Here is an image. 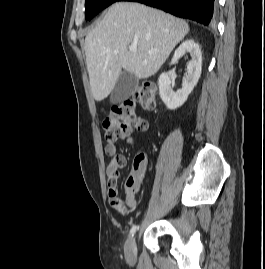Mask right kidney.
I'll return each instance as SVG.
<instances>
[{
    "label": "right kidney",
    "instance_id": "ca27d5eb",
    "mask_svg": "<svg viewBox=\"0 0 265 269\" xmlns=\"http://www.w3.org/2000/svg\"><path fill=\"white\" fill-rule=\"evenodd\" d=\"M185 53L190 54V61L187 63V74L183 77L181 89L176 92L171 89V80L167 73H162L158 79L160 97L170 110H175L185 103L201 76L202 54L193 39H187L175 50L170 64L177 63Z\"/></svg>",
    "mask_w": 265,
    "mask_h": 269
}]
</instances>
